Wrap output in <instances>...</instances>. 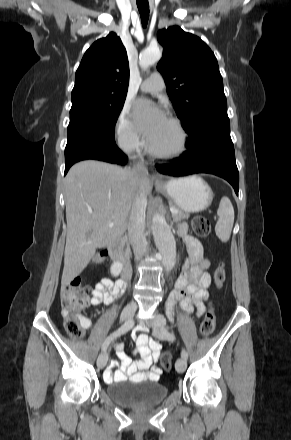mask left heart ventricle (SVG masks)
<instances>
[{
	"label": "left heart ventricle",
	"mask_w": 291,
	"mask_h": 440,
	"mask_svg": "<svg viewBox=\"0 0 291 440\" xmlns=\"http://www.w3.org/2000/svg\"><path fill=\"white\" fill-rule=\"evenodd\" d=\"M148 141L154 148L160 151L168 152L177 148L178 135L170 121L166 119L158 127L154 136Z\"/></svg>",
	"instance_id": "b2bd125f"
}]
</instances>
